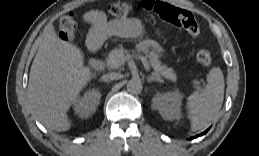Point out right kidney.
Wrapping results in <instances>:
<instances>
[{"mask_svg": "<svg viewBox=\"0 0 259 156\" xmlns=\"http://www.w3.org/2000/svg\"><path fill=\"white\" fill-rule=\"evenodd\" d=\"M101 99V93L97 89L87 90L83 96L74 103V111L81 118H88L97 109Z\"/></svg>", "mask_w": 259, "mask_h": 156, "instance_id": "right-kidney-1", "label": "right kidney"}]
</instances>
